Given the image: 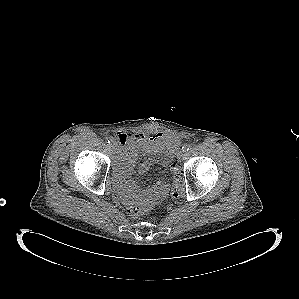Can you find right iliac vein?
<instances>
[{
    "label": "right iliac vein",
    "instance_id": "obj_1",
    "mask_svg": "<svg viewBox=\"0 0 299 299\" xmlns=\"http://www.w3.org/2000/svg\"><path fill=\"white\" fill-rule=\"evenodd\" d=\"M116 145H117V143H116V141H114V142L112 143V147H113V149H115Z\"/></svg>",
    "mask_w": 299,
    "mask_h": 299
}]
</instances>
